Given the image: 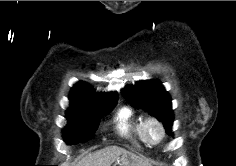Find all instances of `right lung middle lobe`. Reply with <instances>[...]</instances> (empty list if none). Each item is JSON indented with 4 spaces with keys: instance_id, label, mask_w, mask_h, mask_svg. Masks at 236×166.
Segmentation results:
<instances>
[{
    "instance_id": "obj_1",
    "label": "right lung middle lobe",
    "mask_w": 236,
    "mask_h": 166,
    "mask_svg": "<svg viewBox=\"0 0 236 166\" xmlns=\"http://www.w3.org/2000/svg\"><path fill=\"white\" fill-rule=\"evenodd\" d=\"M114 106L105 109L71 106L67 110L66 116L68 125L63 130L65 142L67 144H76L93 138L101 117L109 113Z\"/></svg>"
}]
</instances>
